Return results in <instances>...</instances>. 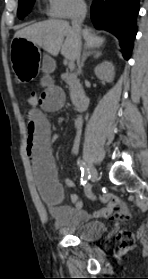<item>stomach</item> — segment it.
<instances>
[{"label":"stomach","instance_id":"obj_1","mask_svg":"<svg viewBox=\"0 0 148 279\" xmlns=\"http://www.w3.org/2000/svg\"><path fill=\"white\" fill-rule=\"evenodd\" d=\"M10 59L13 71L21 82L31 80L40 67L44 72H50L55 65L52 58L41 54L37 45L22 37L13 41Z\"/></svg>","mask_w":148,"mask_h":279}]
</instances>
